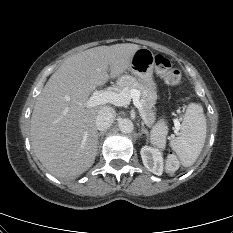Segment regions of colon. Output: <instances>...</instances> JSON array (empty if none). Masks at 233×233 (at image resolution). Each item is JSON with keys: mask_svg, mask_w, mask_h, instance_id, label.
Masks as SVG:
<instances>
[{"mask_svg": "<svg viewBox=\"0 0 233 233\" xmlns=\"http://www.w3.org/2000/svg\"><path fill=\"white\" fill-rule=\"evenodd\" d=\"M154 64L157 73L167 84L178 85L181 81L179 70L172 68L170 61L163 55L154 56ZM167 127L164 121H160L154 127L151 134V143L158 149H164L166 145ZM179 168V161L176 155L169 152L165 160V171L169 174L175 173Z\"/></svg>", "mask_w": 233, "mask_h": 233, "instance_id": "1", "label": "colon"}]
</instances>
